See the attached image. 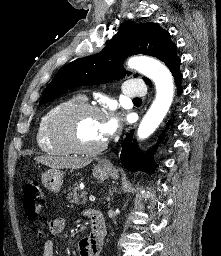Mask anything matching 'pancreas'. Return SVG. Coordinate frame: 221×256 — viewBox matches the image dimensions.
I'll return each mask as SVG.
<instances>
[{
    "label": "pancreas",
    "mask_w": 221,
    "mask_h": 256,
    "mask_svg": "<svg viewBox=\"0 0 221 256\" xmlns=\"http://www.w3.org/2000/svg\"><path fill=\"white\" fill-rule=\"evenodd\" d=\"M87 192L81 191L79 187H75L72 192L68 193L67 199L72 204H81L86 203L87 201Z\"/></svg>",
    "instance_id": "pancreas-1"
}]
</instances>
